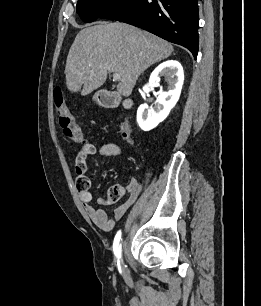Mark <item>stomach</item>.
Listing matches in <instances>:
<instances>
[{"label": "stomach", "instance_id": "obj_1", "mask_svg": "<svg viewBox=\"0 0 261 306\" xmlns=\"http://www.w3.org/2000/svg\"><path fill=\"white\" fill-rule=\"evenodd\" d=\"M94 99L97 101V97L95 96Z\"/></svg>", "mask_w": 261, "mask_h": 306}]
</instances>
